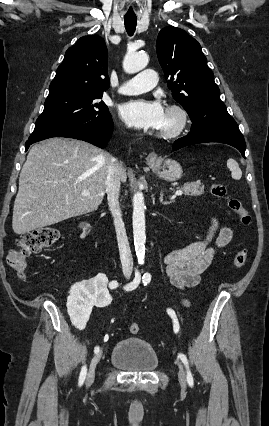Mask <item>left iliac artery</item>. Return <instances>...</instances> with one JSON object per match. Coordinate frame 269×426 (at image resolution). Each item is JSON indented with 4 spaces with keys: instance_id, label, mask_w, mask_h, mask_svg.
<instances>
[{
    "instance_id": "1",
    "label": "left iliac artery",
    "mask_w": 269,
    "mask_h": 426,
    "mask_svg": "<svg viewBox=\"0 0 269 426\" xmlns=\"http://www.w3.org/2000/svg\"><path fill=\"white\" fill-rule=\"evenodd\" d=\"M142 279H143L144 285H147V283H149L150 280H151V275L149 273H145L143 275ZM167 313L172 318L173 329H174V332L177 333L179 331L180 326H179V322H178L177 316L175 314V311L171 308H168ZM178 357L181 359V361L184 363V365L187 369V382L192 387L194 385V381H193V376L191 374V371L189 369L187 357L183 353H179Z\"/></svg>"
}]
</instances>
